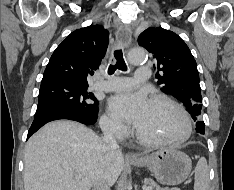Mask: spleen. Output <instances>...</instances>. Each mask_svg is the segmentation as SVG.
<instances>
[{
    "label": "spleen",
    "instance_id": "3e777b00",
    "mask_svg": "<svg viewBox=\"0 0 234 190\" xmlns=\"http://www.w3.org/2000/svg\"><path fill=\"white\" fill-rule=\"evenodd\" d=\"M194 190H210L209 169L204 157L199 159L195 168Z\"/></svg>",
    "mask_w": 234,
    "mask_h": 190
}]
</instances>
